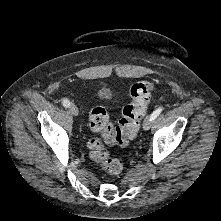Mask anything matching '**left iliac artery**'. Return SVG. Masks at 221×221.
Listing matches in <instances>:
<instances>
[{
	"label": "left iliac artery",
	"instance_id": "left-iliac-artery-1",
	"mask_svg": "<svg viewBox=\"0 0 221 221\" xmlns=\"http://www.w3.org/2000/svg\"><path fill=\"white\" fill-rule=\"evenodd\" d=\"M163 108L159 107L158 109H156L152 114H151V120H155L159 114L162 112Z\"/></svg>",
	"mask_w": 221,
	"mask_h": 221
}]
</instances>
